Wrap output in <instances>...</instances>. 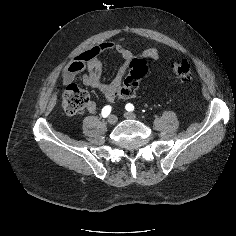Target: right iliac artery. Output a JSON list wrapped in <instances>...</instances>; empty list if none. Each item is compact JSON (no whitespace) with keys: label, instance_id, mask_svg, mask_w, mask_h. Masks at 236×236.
Here are the masks:
<instances>
[{"label":"right iliac artery","instance_id":"82829eb1","mask_svg":"<svg viewBox=\"0 0 236 236\" xmlns=\"http://www.w3.org/2000/svg\"><path fill=\"white\" fill-rule=\"evenodd\" d=\"M111 112V106L110 105H106L105 107H103L102 109V112H101V115L106 118L108 117V115L110 114Z\"/></svg>","mask_w":236,"mask_h":236}]
</instances>
